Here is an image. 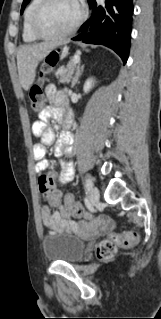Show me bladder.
Segmentation results:
<instances>
[{
  "instance_id": "1",
  "label": "bladder",
  "mask_w": 161,
  "mask_h": 319,
  "mask_svg": "<svg viewBox=\"0 0 161 319\" xmlns=\"http://www.w3.org/2000/svg\"><path fill=\"white\" fill-rule=\"evenodd\" d=\"M86 250L85 241L73 234L47 235L43 239V253L47 260L78 262Z\"/></svg>"
}]
</instances>
